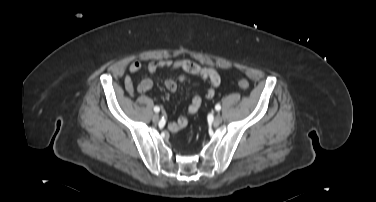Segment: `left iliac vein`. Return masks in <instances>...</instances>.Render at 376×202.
<instances>
[{
	"mask_svg": "<svg viewBox=\"0 0 376 202\" xmlns=\"http://www.w3.org/2000/svg\"><path fill=\"white\" fill-rule=\"evenodd\" d=\"M223 118L220 114L215 115L213 123L214 125H219L222 122Z\"/></svg>",
	"mask_w": 376,
	"mask_h": 202,
	"instance_id": "left-iliac-vein-1",
	"label": "left iliac vein"
}]
</instances>
